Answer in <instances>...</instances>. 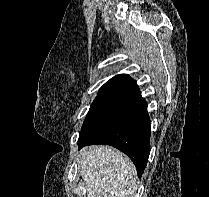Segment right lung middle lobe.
<instances>
[{"label": "right lung middle lobe", "instance_id": "dd1d6c3e", "mask_svg": "<svg viewBox=\"0 0 209 197\" xmlns=\"http://www.w3.org/2000/svg\"><path fill=\"white\" fill-rule=\"evenodd\" d=\"M140 93L136 90L128 89L113 84H104L92 103L85 118L82 129L88 127L93 122L106 116L116 108L130 102Z\"/></svg>", "mask_w": 209, "mask_h": 197}]
</instances>
